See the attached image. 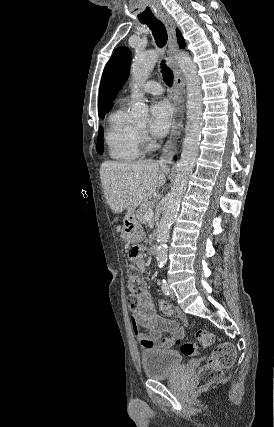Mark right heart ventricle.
I'll return each instance as SVG.
<instances>
[{
    "label": "right heart ventricle",
    "mask_w": 274,
    "mask_h": 427,
    "mask_svg": "<svg viewBox=\"0 0 274 427\" xmlns=\"http://www.w3.org/2000/svg\"><path fill=\"white\" fill-rule=\"evenodd\" d=\"M110 158L119 162H133L141 156L137 127L128 120L125 110L119 108L111 117V127L105 135Z\"/></svg>",
    "instance_id": "right-heart-ventricle-1"
}]
</instances>
